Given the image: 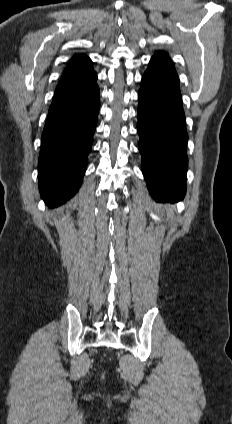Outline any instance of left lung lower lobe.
<instances>
[{"instance_id": "left-lung-lower-lobe-1", "label": "left lung lower lobe", "mask_w": 232, "mask_h": 424, "mask_svg": "<svg viewBox=\"0 0 232 424\" xmlns=\"http://www.w3.org/2000/svg\"><path fill=\"white\" fill-rule=\"evenodd\" d=\"M139 151L151 196L183 199L186 192L187 131L179 78L169 57L152 58L138 94Z\"/></svg>"}]
</instances>
